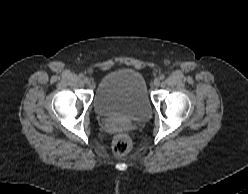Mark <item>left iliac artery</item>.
I'll list each match as a JSON object with an SVG mask.
<instances>
[{"mask_svg":"<svg viewBox=\"0 0 248 194\" xmlns=\"http://www.w3.org/2000/svg\"><path fill=\"white\" fill-rule=\"evenodd\" d=\"M164 78H165V76H164V75H161V76H160V79H161V80H163Z\"/></svg>","mask_w":248,"mask_h":194,"instance_id":"44dca946","label":"left iliac artery"}]
</instances>
